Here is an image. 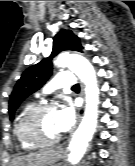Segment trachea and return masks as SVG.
<instances>
[{
  "label": "trachea",
  "instance_id": "trachea-1",
  "mask_svg": "<svg viewBox=\"0 0 135 166\" xmlns=\"http://www.w3.org/2000/svg\"><path fill=\"white\" fill-rule=\"evenodd\" d=\"M72 89H79V85L78 84H75Z\"/></svg>",
  "mask_w": 135,
  "mask_h": 166
}]
</instances>
